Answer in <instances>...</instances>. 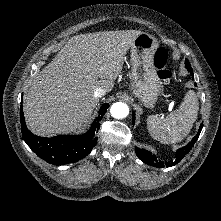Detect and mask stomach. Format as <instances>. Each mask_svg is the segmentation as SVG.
<instances>
[{
  "mask_svg": "<svg viewBox=\"0 0 221 221\" xmlns=\"http://www.w3.org/2000/svg\"><path fill=\"white\" fill-rule=\"evenodd\" d=\"M157 39L142 32L131 46V91L145 107L152 108L162 90V82L154 65Z\"/></svg>",
  "mask_w": 221,
  "mask_h": 221,
  "instance_id": "stomach-1",
  "label": "stomach"
}]
</instances>
